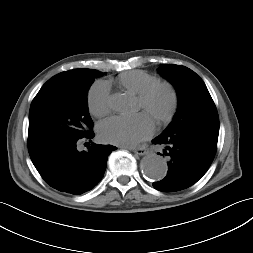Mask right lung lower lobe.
<instances>
[{"label":"right lung lower lobe","mask_w":253,"mask_h":253,"mask_svg":"<svg viewBox=\"0 0 253 253\" xmlns=\"http://www.w3.org/2000/svg\"><path fill=\"white\" fill-rule=\"evenodd\" d=\"M89 132L84 139H92ZM116 147L93 143L88 151L77 150V141L57 147L33 161L41 177L51 187L73 195L93 189L102 179L107 158Z\"/></svg>","instance_id":"obj_1"}]
</instances>
